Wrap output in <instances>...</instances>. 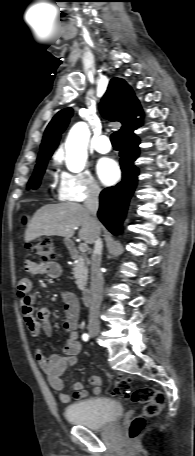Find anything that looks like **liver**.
I'll use <instances>...</instances> for the list:
<instances>
[{
	"label": "liver",
	"instance_id": "obj_1",
	"mask_svg": "<svg viewBox=\"0 0 195 456\" xmlns=\"http://www.w3.org/2000/svg\"><path fill=\"white\" fill-rule=\"evenodd\" d=\"M79 226V238L85 244H93L96 227L85 206L73 202L48 204L33 215L25 231V241L30 242L41 236H61L69 240ZM98 228L100 231V224Z\"/></svg>",
	"mask_w": 195,
	"mask_h": 456
}]
</instances>
